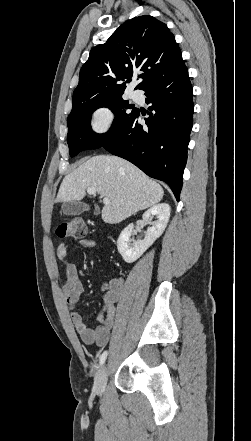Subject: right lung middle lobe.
<instances>
[{"instance_id":"obj_1","label":"right lung middle lobe","mask_w":251,"mask_h":441,"mask_svg":"<svg viewBox=\"0 0 251 441\" xmlns=\"http://www.w3.org/2000/svg\"><path fill=\"white\" fill-rule=\"evenodd\" d=\"M100 107H109L115 114L111 128L104 134L93 132L90 126L91 114ZM136 111L137 108L123 100L122 96L73 102L72 111L67 118V143L70 156L74 157L82 150L102 147L109 138L126 126Z\"/></svg>"}]
</instances>
